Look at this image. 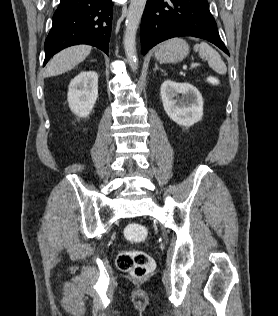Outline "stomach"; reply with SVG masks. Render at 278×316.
Here are the masks:
<instances>
[{
	"instance_id": "0dacf381",
	"label": "stomach",
	"mask_w": 278,
	"mask_h": 316,
	"mask_svg": "<svg viewBox=\"0 0 278 316\" xmlns=\"http://www.w3.org/2000/svg\"><path fill=\"white\" fill-rule=\"evenodd\" d=\"M189 54V46L182 39H172L159 46L155 57L162 63H177Z\"/></svg>"
}]
</instances>
